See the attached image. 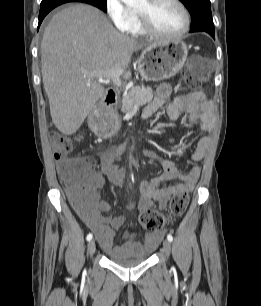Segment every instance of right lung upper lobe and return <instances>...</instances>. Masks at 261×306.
Masks as SVG:
<instances>
[{"label":"right lung upper lobe","mask_w":261,"mask_h":306,"mask_svg":"<svg viewBox=\"0 0 261 306\" xmlns=\"http://www.w3.org/2000/svg\"><path fill=\"white\" fill-rule=\"evenodd\" d=\"M62 1H65L64 3H67V2H84V0H62Z\"/></svg>","instance_id":"right-lung-upper-lobe-1"}]
</instances>
